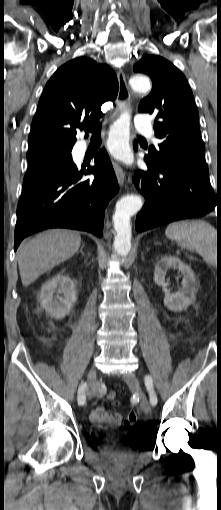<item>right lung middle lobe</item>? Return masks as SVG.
Segmentation results:
<instances>
[{
	"label": "right lung middle lobe",
	"mask_w": 221,
	"mask_h": 510,
	"mask_svg": "<svg viewBox=\"0 0 221 510\" xmlns=\"http://www.w3.org/2000/svg\"><path fill=\"white\" fill-rule=\"evenodd\" d=\"M72 148L45 147L28 152L26 175L45 170H68L74 165Z\"/></svg>",
	"instance_id": "dd1d6c3e"
}]
</instances>
